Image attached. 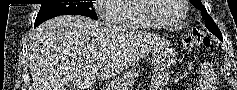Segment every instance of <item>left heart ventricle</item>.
I'll return each mask as SVG.
<instances>
[{"label":"left heart ventricle","mask_w":237,"mask_h":90,"mask_svg":"<svg viewBox=\"0 0 237 90\" xmlns=\"http://www.w3.org/2000/svg\"><path fill=\"white\" fill-rule=\"evenodd\" d=\"M155 1H163L160 9L157 13H153L154 17L160 23L171 26L175 25L181 17L182 11L180 6L177 4V0H155Z\"/></svg>","instance_id":"left-heart-ventricle-1"}]
</instances>
